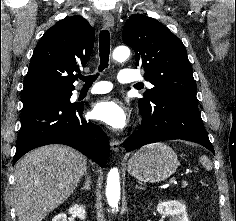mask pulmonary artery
Wrapping results in <instances>:
<instances>
[{"label": "pulmonary artery", "instance_id": "obj_1", "mask_svg": "<svg viewBox=\"0 0 236 221\" xmlns=\"http://www.w3.org/2000/svg\"><path fill=\"white\" fill-rule=\"evenodd\" d=\"M118 80L121 83H132L136 82L142 79V77L131 70L128 69H122L117 76ZM151 86L150 84H148ZM112 89V85L108 81H99L97 82L92 88L89 89L88 93L89 94H102V93H107Z\"/></svg>", "mask_w": 236, "mask_h": 221}]
</instances>
